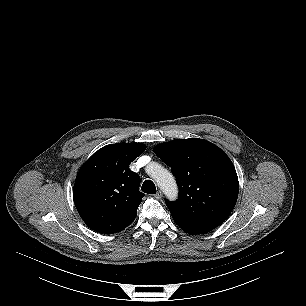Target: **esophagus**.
<instances>
[{"mask_svg":"<svg viewBox=\"0 0 306 306\" xmlns=\"http://www.w3.org/2000/svg\"><path fill=\"white\" fill-rule=\"evenodd\" d=\"M156 199H160L163 196V193L161 190L157 191V193L154 195Z\"/></svg>","mask_w":306,"mask_h":306,"instance_id":"esophagus-1","label":"esophagus"}]
</instances>
